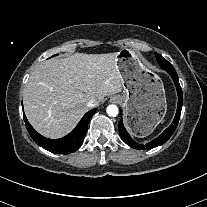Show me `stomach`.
Returning <instances> with one entry per match:
<instances>
[{
  "label": "stomach",
  "mask_w": 207,
  "mask_h": 207,
  "mask_svg": "<svg viewBox=\"0 0 207 207\" xmlns=\"http://www.w3.org/2000/svg\"><path fill=\"white\" fill-rule=\"evenodd\" d=\"M117 66L122 75V94L115 96L126 112V123L135 134L151 133L163 119L167 102L160 78L140 63L135 51L117 52Z\"/></svg>",
  "instance_id": "obj_1"
}]
</instances>
